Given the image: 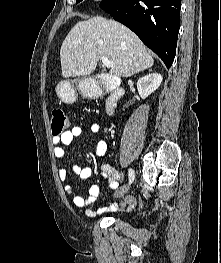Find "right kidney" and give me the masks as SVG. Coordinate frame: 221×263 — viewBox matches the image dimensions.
I'll use <instances>...</instances> for the list:
<instances>
[{"mask_svg":"<svg viewBox=\"0 0 221 263\" xmlns=\"http://www.w3.org/2000/svg\"><path fill=\"white\" fill-rule=\"evenodd\" d=\"M163 78L159 73H151L141 77L137 82V89L142 99L147 98L161 84Z\"/></svg>","mask_w":221,"mask_h":263,"instance_id":"1","label":"right kidney"}]
</instances>
